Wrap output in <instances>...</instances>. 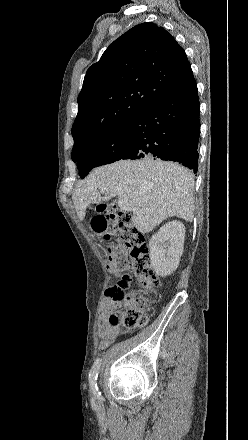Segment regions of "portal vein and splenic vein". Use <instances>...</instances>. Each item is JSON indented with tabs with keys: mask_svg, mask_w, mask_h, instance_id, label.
Listing matches in <instances>:
<instances>
[{
	"mask_svg": "<svg viewBox=\"0 0 248 440\" xmlns=\"http://www.w3.org/2000/svg\"><path fill=\"white\" fill-rule=\"evenodd\" d=\"M118 205L124 211H135L136 210L133 207V203L129 200H126V199H119Z\"/></svg>",
	"mask_w": 248,
	"mask_h": 440,
	"instance_id": "18ae733b",
	"label": "portal vein and splenic vein"
}]
</instances>
